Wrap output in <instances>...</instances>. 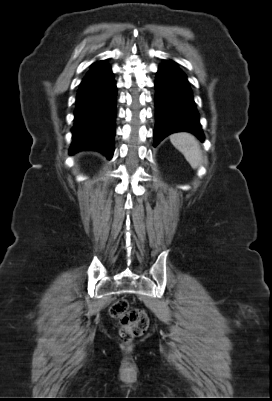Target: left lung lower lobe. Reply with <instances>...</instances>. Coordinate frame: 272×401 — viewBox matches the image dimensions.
<instances>
[{"mask_svg": "<svg viewBox=\"0 0 272 401\" xmlns=\"http://www.w3.org/2000/svg\"><path fill=\"white\" fill-rule=\"evenodd\" d=\"M155 88L154 146L167 135L181 131L191 132L203 141L204 135L192 91L185 74L175 62L165 60L160 65Z\"/></svg>", "mask_w": 272, "mask_h": 401, "instance_id": "obj_1", "label": "left lung lower lobe"}]
</instances>
